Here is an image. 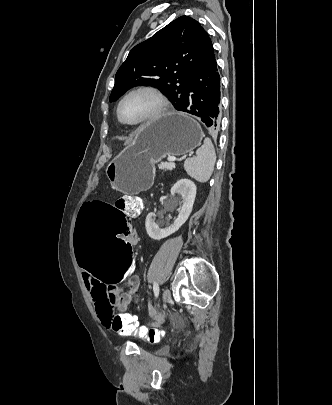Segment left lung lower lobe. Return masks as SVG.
I'll use <instances>...</instances> for the list:
<instances>
[{
    "label": "left lung lower lobe",
    "mask_w": 332,
    "mask_h": 405,
    "mask_svg": "<svg viewBox=\"0 0 332 405\" xmlns=\"http://www.w3.org/2000/svg\"><path fill=\"white\" fill-rule=\"evenodd\" d=\"M220 87V75L212 47L191 75L187 92L175 109L197 116L212 132H216L221 121Z\"/></svg>",
    "instance_id": "obj_1"
}]
</instances>
